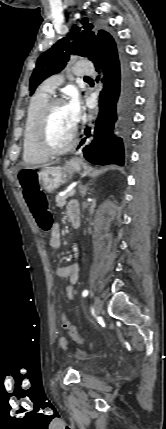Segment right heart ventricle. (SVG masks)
<instances>
[{"label": "right heart ventricle", "instance_id": "obj_1", "mask_svg": "<svg viewBox=\"0 0 166 429\" xmlns=\"http://www.w3.org/2000/svg\"><path fill=\"white\" fill-rule=\"evenodd\" d=\"M50 94L40 89L32 97L28 106L23 132V160L30 164L44 163L49 157L36 148L34 144V130L37 117L45 103L50 99Z\"/></svg>", "mask_w": 166, "mask_h": 429}]
</instances>
